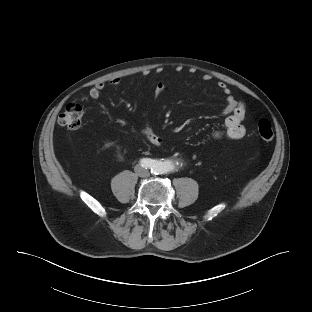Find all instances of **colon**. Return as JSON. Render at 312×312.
<instances>
[{
  "label": "colon",
  "mask_w": 312,
  "mask_h": 312,
  "mask_svg": "<svg viewBox=\"0 0 312 312\" xmlns=\"http://www.w3.org/2000/svg\"><path fill=\"white\" fill-rule=\"evenodd\" d=\"M82 115V106L77 102H71L67 104L65 110L60 114L58 123L68 129H77L81 124ZM257 131L262 140L271 141L273 139V128L268 119L259 120Z\"/></svg>",
  "instance_id": "5ec220e1"
}]
</instances>
